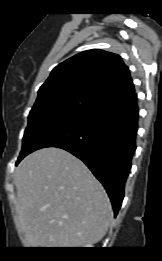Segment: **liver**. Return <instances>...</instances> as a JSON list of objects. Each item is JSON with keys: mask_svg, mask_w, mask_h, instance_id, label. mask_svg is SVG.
<instances>
[{"mask_svg": "<svg viewBox=\"0 0 162 261\" xmlns=\"http://www.w3.org/2000/svg\"><path fill=\"white\" fill-rule=\"evenodd\" d=\"M16 212L32 247H79L106 234L112 207L78 158L59 148L28 155L15 172Z\"/></svg>", "mask_w": 162, "mask_h": 261, "instance_id": "6515ba94", "label": "liver"}]
</instances>
